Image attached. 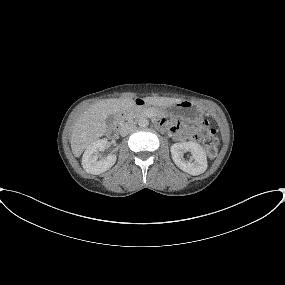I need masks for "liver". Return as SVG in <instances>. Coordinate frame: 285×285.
<instances>
[{
  "instance_id": "6515ba94",
  "label": "liver",
  "mask_w": 285,
  "mask_h": 285,
  "mask_svg": "<svg viewBox=\"0 0 285 285\" xmlns=\"http://www.w3.org/2000/svg\"><path fill=\"white\" fill-rule=\"evenodd\" d=\"M182 99L167 97H146L144 102L159 107H169ZM134 106L132 98H114L98 101L85 110L75 122L70 138L75 157L107 131L106 118L130 110Z\"/></svg>"
}]
</instances>
